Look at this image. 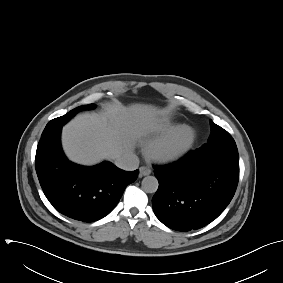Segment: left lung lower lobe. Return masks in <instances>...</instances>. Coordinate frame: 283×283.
Wrapping results in <instances>:
<instances>
[{"instance_id":"obj_1","label":"left lung lower lobe","mask_w":283,"mask_h":283,"mask_svg":"<svg viewBox=\"0 0 283 283\" xmlns=\"http://www.w3.org/2000/svg\"><path fill=\"white\" fill-rule=\"evenodd\" d=\"M154 169L159 181L152 198L154 213L178 231L196 230L216 219L233 198L239 179V160L196 150Z\"/></svg>"}]
</instances>
